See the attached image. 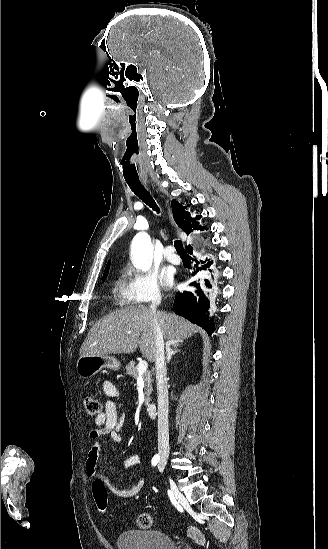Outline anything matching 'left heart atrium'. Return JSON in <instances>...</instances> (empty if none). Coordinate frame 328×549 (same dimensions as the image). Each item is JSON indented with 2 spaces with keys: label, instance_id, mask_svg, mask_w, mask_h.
Listing matches in <instances>:
<instances>
[{
  "label": "left heart atrium",
  "instance_id": "39dd6f15",
  "mask_svg": "<svg viewBox=\"0 0 328 549\" xmlns=\"http://www.w3.org/2000/svg\"><path fill=\"white\" fill-rule=\"evenodd\" d=\"M162 282L166 288H169L172 285V278L169 275L164 274L162 277Z\"/></svg>",
  "mask_w": 328,
  "mask_h": 549
}]
</instances>
